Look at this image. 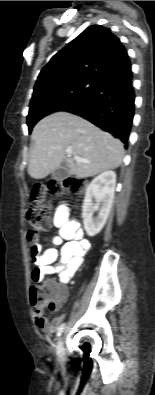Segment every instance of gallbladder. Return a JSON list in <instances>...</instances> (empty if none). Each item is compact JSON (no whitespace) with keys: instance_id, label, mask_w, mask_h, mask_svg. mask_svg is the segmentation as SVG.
<instances>
[{"instance_id":"bac80fb5","label":"gallbladder","mask_w":155,"mask_h":395,"mask_svg":"<svg viewBox=\"0 0 155 395\" xmlns=\"http://www.w3.org/2000/svg\"><path fill=\"white\" fill-rule=\"evenodd\" d=\"M69 175H70L69 169L64 164L52 172V177L56 180H63L69 177Z\"/></svg>"}]
</instances>
